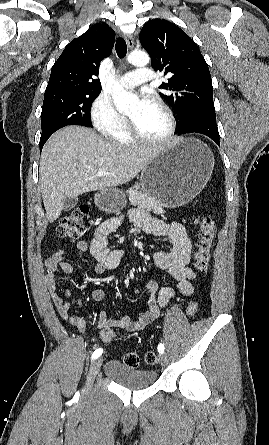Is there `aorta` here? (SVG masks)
<instances>
[{
	"instance_id": "aorta-1",
	"label": "aorta",
	"mask_w": 269,
	"mask_h": 445,
	"mask_svg": "<svg viewBox=\"0 0 269 445\" xmlns=\"http://www.w3.org/2000/svg\"><path fill=\"white\" fill-rule=\"evenodd\" d=\"M127 61L135 66H146L150 58L147 53L140 51L131 52ZM114 104L119 112H128L138 103V97L135 94L127 92L119 83L115 82L112 90Z\"/></svg>"
}]
</instances>
